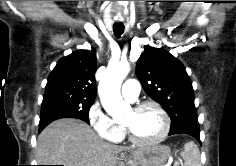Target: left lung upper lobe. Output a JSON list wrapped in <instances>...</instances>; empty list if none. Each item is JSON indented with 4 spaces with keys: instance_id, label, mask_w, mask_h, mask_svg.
<instances>
[{
    "instance_id": "5c2ea615",
    "label": "left lung upper lobe",
    "mask_w": 236,
    "mask_h": 166,
    "mask_svg": "<svg viewBox=\"0 0 236 166\" xmlns=\"http://www.w3.org/2000/svg\"><path fill=\"white\" fill-rule=\"evenodd\" d=\"M136 72L146 94L162 105L171 124L197 116L191 80L184 65L168 51L147 45Z\"/></svg>"
}]
</instances>
